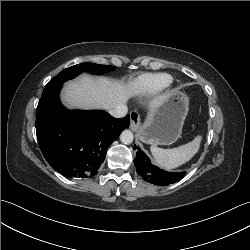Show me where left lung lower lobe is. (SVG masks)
Segmentation results:
<instances>
[{"mask_svg": "<svg viewBox=\"0 0 250 250\" xmlns=\"http://www.w3.org/2000/svg\"><path fill=\"white\" fill-rule=\"evenodd\" d=\"M136 148L137 153L134 164L136 166L137 173L143 177L145 181L163 186L175 183L184 177L185 172L171 173L161 170L157 166L153 165L147 155L135 145L134 149Z\"/></svg>", "mask_w": 250, "mask_h": 250, "instance_id": "1", "label": "left lung lower lobe"}]
</instances>
